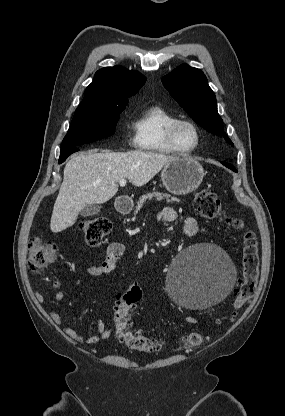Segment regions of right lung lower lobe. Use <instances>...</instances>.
I'll return each instance as SVG.
<instances>
[{"mask_svg":"<svg viewBox=\"0 0 285 416\" xmlns=\"http://www.w3.org/2000/svg\"><path fill=\"white\" fill-rule=\"evenodd\" d=\"M78 150L79 149L76 148V147L61 149L59 163H63L69 155H71L72 153H74Z\"/></svg>","mask_w":285,"mask_h":416,"instance_id":"right-lung-lower-lobe-1","label":"right lung lower lobe"}]
</instances>
